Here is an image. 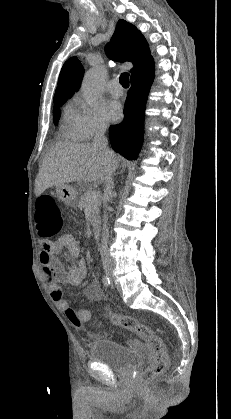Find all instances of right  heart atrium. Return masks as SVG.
Instances as JSON below:
<instances>
[{"label":"right heart atrium","instance_id":"obj_1","mask_svg":"<svg viewBox=\"0 0 231 419\" xmlns=\"http://www.w3.org/2000/svg\"><path fill=\"white\" fill-rule=\"evenodd\" d=\"M74 124L76 131L83 140L103 134L107 129V122L97 104H90L77 96L74 99Z\"/></svg>","mask_w":231,"mask_h":419}]
</instances>
